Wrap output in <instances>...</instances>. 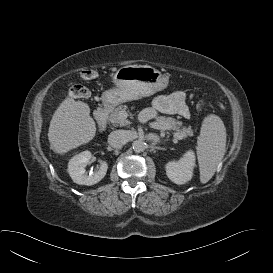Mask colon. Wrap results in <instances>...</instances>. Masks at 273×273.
<instances>
[{"instance_id": "1", "label": "colon", "mask_w": 273, "mask_h": 273, "mask_svg": "<svg viewBox=\"0 0 273 273\" xmlns=\"http://www.w3.org/2000/svg\"><path fill=\"white\" fill-rule=\"evenodd\" d=\"M97 74L98 73H97L96 69L89 68V69L82 71L81 76L84 79H94L97 77ZM70 93L72 96H74L76 98H87L90 95L89 89L79 83L73 84L70 87ZM206 105H207V101L202 100L198 104V109L203 110L206 107Z\"/></svg>"}]
</instances>
